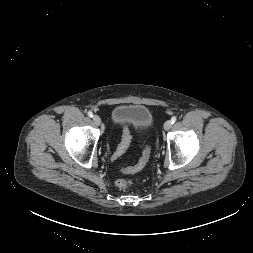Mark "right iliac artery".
Returning a JSON list of instances; mask_svg holds the SVG:
<instances>
[{
	"mask_svg": "<svg viewBox=\"0 0 253 253\" xmlns=\"http://www.w3.org/2000/svg\"><path fill=\"white\" fill-rule=\"evenodd\" d=\"M88 116L93 117V113L91 111H88Z\"/></svg>",
	"mask_w": 253,
	"mask_h": 253,
	"instance_id": "1",
	"label": "right iliac artery"
}]
</instances>
